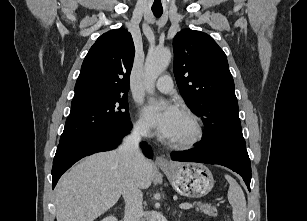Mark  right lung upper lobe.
<instances>
[{
  "instance_id": "cb5924a9",
  "label": "right lung upper lobe",
  "mask_w": 307,
  "mask_h": 221,
  "mask_svg": "<svg viewBox=\"0 0 307 221\" xmlns=\"http://www.w3.org/2000/svg\"><path fill=\"white\" fill-rule=\"evenodd\" d=\"M134 53L132 36L126 29L100 36L83 61L72 103L127 94Z\"/></svg>"
}]
</instances>
